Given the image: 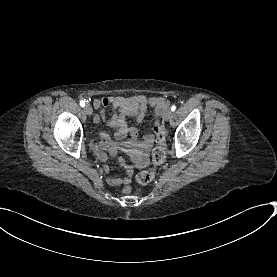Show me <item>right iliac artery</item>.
<instances>
[{"label":"right iliac artery","mask_w":277,"mask_h":277,"mask_svg":"<svg viewBox=\"0 0 277 277\" xmlns=\"http://www.w3.org/2000/svg\"><path fill=\"white\" fill-rule=\"evenodd\" d=\"M80 106L84 107L85 106V102L83 100L80 101Z\"/></svg>","instance_id":"82829eb1"}]
</instances>
